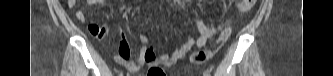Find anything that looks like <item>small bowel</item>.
Masks as SVG:
<instances>
[{"label":"small bowel","mask_w":333,"mask_h":76,"mask_svg":"<svg viewBox=\"0 0 333 76\" xmlns=\"http://www.w3.org/2000/svg\"><path fill=\"white\" fill-rule=\"evenodd\" d=\"M87 5H106V0H87ZM67 5L75 11L76 18L85 22L86 17L84 12L79 8L78 0H68ZM190 18L194 21L199 36L197 38L189 37L178 49L165 53L160 56L155 55V49L150 43L149 38L142 34L139 37L142 47L138 56L134 60H130V49L124 35H121V40L118 46V52L115 54V61L131 72L139 71L143 66H146V76H167L165 68L177 63L193 47H203L207 41L212 38L223 27L230 23L231 17H228L223 23L216 27H208L199 17L196 10L190 13ZM93 39H102L109 33V28L106 25H100L96 22H91L88 26Z\"/></svg>","instance_id":"obj_1"}]
</instances>
